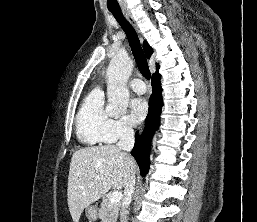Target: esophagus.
Returning a JSON list of instances; mask_svg holds the SVG:
<instances>
[{"mask_svg": "<svg viewBox=\"0 0 257 222\" xmlns=\"http://www.w3.org/2000/svg\"><path fill=\"white\" fill-rule=\"evenodd\" d=\"M124 16L126 17V19L133 25V27L137 30V25L136 22L134 21V19L132 18L131 14L127 11L123 12ZM144 126L140 128V133L143 131Z\"/></svg>", "mask_w": 257, "mask_h": 222, "instance_id": "1", "label": "esophagus"}]
</instances>
